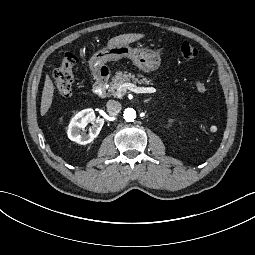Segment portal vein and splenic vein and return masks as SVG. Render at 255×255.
I'll return each mask as SVG.
<instances>
[{"instance_id": "obj_1", "label": "portal vein and splenic vein", "mask_w": 255, "mask_h": 255, "mask_svg": "<svg viewBox=\"0 0 255 255\" xmlns=\"http://www.w3.org/2000/svg\"><path fill=\"white\" fill-rule=\"evenodd\" d=\"M126 88L129 89L130 91L134 93H142V94H147V93H156L157 89L154 87H147V88H141L133 84H123L118 87L117 91L114 93V95L119 96L122 92L126 91Z\"/></svg>"}]
</instances>
